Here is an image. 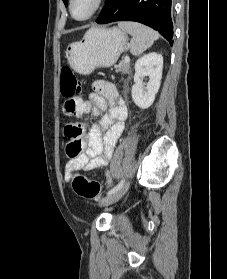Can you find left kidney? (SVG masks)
<instances>
[{
    "mask_svg": "<svg viewBox=\"0 0 227 279\" xmlns=\"http://www.w3.org/2000/svg\"><path fill=\"white\" fill-rule=\"evenodd\" d=\"M163 57L161 54L149 53L135 63L134 82L131 95L134 103L141 109L149 108L155 99L162 78ZM148 77L147 83L143 79Z\"/></svg>",
    "mask_w": 227,
    "mask_h": 279,
    "instance_id": "1",
    "label": "left kidney"
}]
</instances>
